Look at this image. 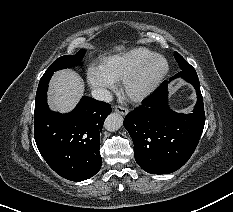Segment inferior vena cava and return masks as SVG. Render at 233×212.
<instances>
[{
	"label": "inferior vena cava",
	"mask_w": 233,
	"mask_h": 212,
	"mask_svg": "<svg viewBox=\"0 0 233 212\" xmlns=\"http://www.w3.org/2000/svg\"><path fill=\"white\" fill-rule=\"evenodd\" d=\"M91 94L94 99L99 101L111 102L113 99L111 92L102 87L94 88Z\"/></svg>",
	"instance_id": "inferior-vena-cava-1"
}]
</instances>
